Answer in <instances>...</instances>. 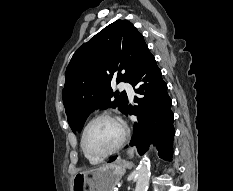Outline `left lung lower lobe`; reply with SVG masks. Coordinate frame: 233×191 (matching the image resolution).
Returning <instances> with one entry per match:
<instances>
[{"label": "left lung lower lobe", "instance_id": "left-lung-lower-lobe-1", "mask_svg": "<svg viewBox=\"0 0 233 191\" xmlns=\"http://www.w3.org/2000/svg\"><path fill=\"white\" fill-rule=\"evenodd\" d=\"M129 83L133 87L136 86L135 92L141 95L140 98H134L138 104L135 106V111L129 107L125 113L136 114L138 119L134 124L135 132L130 146L135 145L138 153L143 155L149 144L154 143L159 157L171 161L175 135L172 102L167 93V85L162 80L161 70L151 53L132 75Z\"/></svg>", "mask_w": 233, "mask_h": 191}]
</instances>
